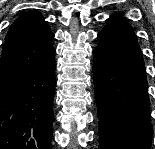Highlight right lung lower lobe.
<instances>
[{
  "mask_svg": "<svg viewBox=\"0 0 155 149\" xmlns=\"http://www.w3.org/2000/svg\"><path fill=\"white\" fill-rule=\"evenodd\" d=\"M54 56L0 77V149H51Z\"/></svg>",
  "mask_w": 155,
  "mask_h": 149,
  "instance_id": "obj_1",
  "label": "right lung lower lobe"
}]
</instances>
